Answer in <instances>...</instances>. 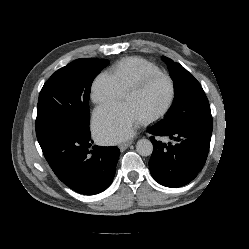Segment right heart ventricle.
<instances>
[{"mask_svg": "<svg viewBox=\"0 0 249 249\" xmlns=\"http://www.w3.org/2000/svg\"><path fill=\"white\" fill-rule=\"evenodd\" d=\"M160 72L157 66L146 59L128 57L119 61L113 67L111 74L124 92L130 85L142 77Z\"/></svg>", "mask_w": 249, "mask_h": 249, "instance_id": "1", "label": "right heart ventricle"}]
</instances>
